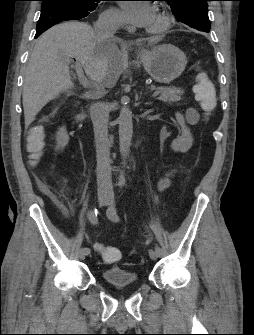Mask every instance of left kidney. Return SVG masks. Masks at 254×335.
<instances>
[{"label": "left kidney", "instance_id": "obj_1", "mask_svg": "<svg viewBox=\"0 0 254 335\" xmlns=\"http://www.w3.org/2000/svg\"><path fill=\"white\" fill-rule=\"evenodd\" d=\"M176 120L181 126V136L177 137L171 143V148L175 152H187L193 144V136L190 132V129L186 126L184 116L180 113L175 114Z\"/></svg>", "mask_w": 254, "mask_h": 335}]
</instances>
